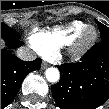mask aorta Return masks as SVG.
Returning <instances> with one entry per match:
<instances>
[{"mask_svg": "<svg viewBox=\"0 0 109 109\" xmlns=\"http://www.w3.org/2000/svg\"><path fill=\"white\" fill-rule=\"evenodd\" d=\"M45 76L49 82L55 83L59 80L60 73L57 68L51 67L46 70Z\"/></svg>", "mask_w": 109, "mask_h": 109, "instance_id": "1", "label": "aorta"}]
</instances>
